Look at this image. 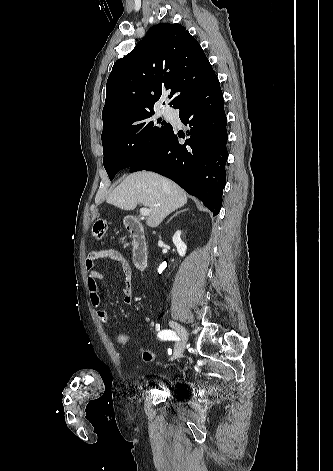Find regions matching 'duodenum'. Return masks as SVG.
I'll use <instances>...</instances> for the list:
<instances>
[{"instance_id":"410a0bca","label":"duodenum","mask_w":333,"mask_h":471,"mask_svg":"<svg viewBox=\"0 0 333 471\" xmlns=\"http://www.w3.org/2000/svg\"><path fill=\"white\" fill-rule=\"evenodd\" d=\"M125 226L132 237V258L135 267L144 270L148 265V247L143 225L135 217L129 216Z\"/></svg>"}]
</instances>
